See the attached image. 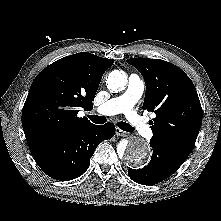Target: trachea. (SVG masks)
<instances>
[{"label":"trachea","instance_id":"trachea-1","mask_svg":"<svg viewBox=\"0 0 221 221\" xmlns=\"http://www.w3.org/2000/svg\"><path fill=\"white\" fill-rule=\"evenodd\" d=\"M88 117L95 124H104L105 123V118L103 116L89 115ZM118 127L124 131H127V132H131L134 130V128L126 122H119Z\"/></svg>","mask_w":221,"mask_h":221}]
</instances>
